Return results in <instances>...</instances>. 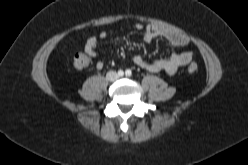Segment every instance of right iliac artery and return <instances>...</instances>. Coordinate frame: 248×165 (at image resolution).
<instances>
[{
	"label": "right iliac artery",
	"instance_id": "obj_1",
	"mask_svg": "<svg viewBox=\"0 0 248 165\" xmlns=\"http://www.w3.org/2000/svg\"><path fill=\"white\" fill-rule=\"evenodd\" d=\"M118 75H119V76H123V75H124V72H123L122 70H119V71H118Z\"/></svg>",
	"mask_w": 248,
	"mask_h": 165
}]
</instances>
